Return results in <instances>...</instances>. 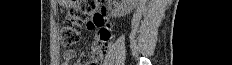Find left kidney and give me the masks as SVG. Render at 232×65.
Listing matches in <instances>:
<instances>
[{
  "mask_svg": "<svg viewBox=\"0 0 232 65\" xmlns=\"http://www.w3.org/2000/svg\"><path fill=\"white\" fill-rule=\"evenodd\" d=\"M138 0H116L112 17H122L129 14L137 4Z\"/></svg>",
  "mask_w": 232,
  "mask_h": 65,
  "instance_id": "left-kidney-1",
  "label": "left kidney"
}]
</instances>
